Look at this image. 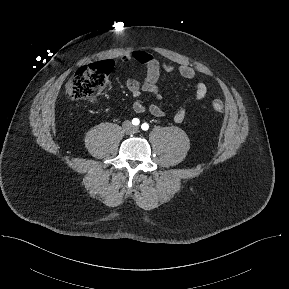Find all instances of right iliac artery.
Masks as SVG:
<instances>
[{
  "instance_id": "right-iliac-artery-1",
  "label": "right iliac artery",
  "mask_w": 289,
  "mask_h": 289,
  "mask_svg": "<svg viewBox=\"0 0 289 289\" xmlns=\"http://www.w3.org/2000/svg\"><path fill=\"white\" fill-rule=\"evenodd\" d=\"M139 123H140V121H139L138 118H134V119L132 120V124H133V125H139Z\"/></svg>"
}]
</instances>
